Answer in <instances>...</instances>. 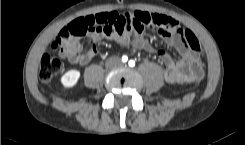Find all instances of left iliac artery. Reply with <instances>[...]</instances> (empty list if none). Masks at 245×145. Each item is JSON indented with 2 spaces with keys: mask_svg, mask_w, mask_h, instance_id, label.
<instances>
[{
  "mask_svg": "<svg viewBox=\"0 0 245 145\" xmlns=\"http://www.w3.org/2000/svg\"><path fill=\"white\" fill-rule=\"evenodd\" d=\"M129 66H130V67H134V66H135V61L130 60V61H129Z\"/></svg>",
  "mask_w": 245,
  "mask_h": 145,
  "instance_id": "44dca946",
  "label": "left iliac artery"
}]
</instances>
